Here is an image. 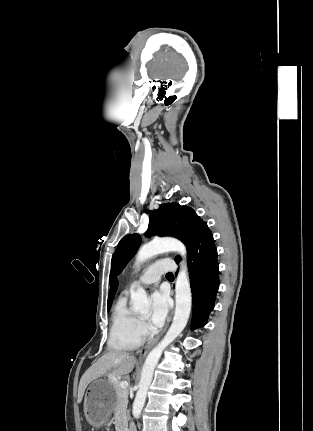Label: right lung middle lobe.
Wrapping results in <instances>:
<instances>
[{
    "instance_id": "obj_1",
    "label": "right lung middle lobe",
    "mask_w": 313,
    "mask_h": 431,
    "mask_svg": "<svg viewBox=\"0 0 313 431\" xmlns=\"http://www.w3.org/2000/svg\"><path fill=\"white\" fill-rule=\"evenodd\" d=\"M111 305L108 306V310L110 309Z\"/></svg>"
}]
</instances>
